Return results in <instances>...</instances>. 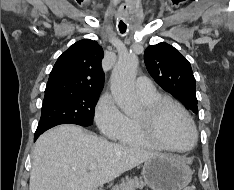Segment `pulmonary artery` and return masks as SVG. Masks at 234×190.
Instances as JSON below:
<instances>
[{
    "mask_svg": "<svg viewBox=\"0 0 234 190\" xmlns=\"http://www.w3.org/2000/svg\"><path fill=\"white\" fill-rule=\"evenodd\" d=\"M136 92L139 96H149L155 93V87L147 77H139L136 82Z\"/></svg>",
    "mask_w": 234,
    "mask_h": 190,
    "instance_id": "obj_1",
    "label": "pulmonary artery"
}]
</instances>
